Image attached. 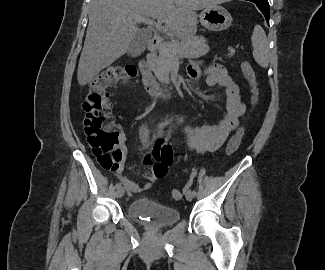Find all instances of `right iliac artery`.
<instances>
[{"label":"right iliac artery","mask_w":325,"mask_h":270,"mask_svg":"<svg viewBox=\"0 0 325 270\" xmlns=\"http://www.w3.org/2000/svg\"><path fill=\"white\" fill-rule=\"evenodd\" d=\"M167 124H168L167 121L164 122V123H161V124H159V128H162V127L166 126ZM119 187H121V183H117V184L115 185V188H119Z\"/></svg>","instance_id":"right-iliac-artery-1"}]
</instances>
